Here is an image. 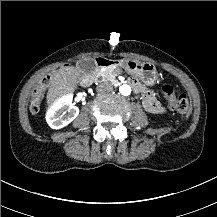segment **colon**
<instances>
[{
	"instance_id": "1",
	"label": "colon",
	"mask_w": 217,
	"mask_h": 217,
	"mask_svg": "<svg viewBox=\"0 0 217 217\" xmlns=\"http://www.w3.org/2000/svg\"><path fill=\"white\" fill-rule=\"evenodd\" d=\"M51 85V79L48 76L41 77L39 81L40 88L30 93L29 111L31 114H37L40 110V100L42 98V89H47ZM175 88L172 84L166 83L161 86L163 96L172 99V108L176 110L181 118H185L190 110V99L186 94H175Z\"/></svg>"
}]
</instances>
